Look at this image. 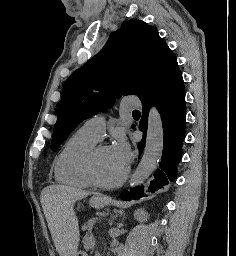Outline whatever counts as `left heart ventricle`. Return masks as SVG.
I'll list each match as a JSON object with an SVG mask.
<instances>
[{
	"mask_svg": "<svg viewBox=\"0 0 236 256\" xmlns=\"http://www.w3.org/2000/svg\"><path fill=\"white\" fill-rule=\"evenodd\" d=\"M96 164L101 177L105 180H113L117 178L124 170L114 163L112 160L108 148H100L95 155Z\"/></svg>",
	"mask_w": 236,
	"mask_h": 256,
	"instance_id": "obj_1",
	"label": "left heart ventricle"
}]
</instances>
